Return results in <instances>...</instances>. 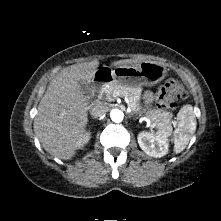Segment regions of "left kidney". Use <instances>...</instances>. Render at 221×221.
<instances>
[{
	"instance_id": "1",
	"label": "left kidney",
	"mask_w": 221,
	"mask_h": 221,
	"mask_svg": "<svg viewBox=\"0 0 221 221\" xmlns=\"http://www.w3.org/2000/svg\"><path fill=\"white\" fill-rule=\"evenodd\" d=\"M138 143L140 148L151 157H163L168 153V139L167 136H154L149 132L139 133Z\"/></svg>"
}]
</instances>
